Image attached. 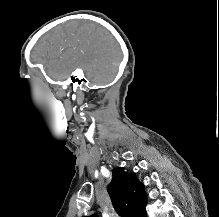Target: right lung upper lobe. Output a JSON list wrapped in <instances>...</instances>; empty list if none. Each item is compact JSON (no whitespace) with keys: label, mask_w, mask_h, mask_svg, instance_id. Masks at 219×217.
<instances>
[{"label":"right lung upper lobe","mask_w":219,"mask_h":217,"mask_svg":"<svg viewBox=\"0 0 219 217\" xmlns=\"http://www.w3.org/2000/svg\"><path fill=\"white\" fill-rule=\"evenodd\" d=\"M107 191L116 212L121 217H147L145 210L147 195L144 185L139 182L135 173H127L121 168L113 169L112 181Z\"/></svg>","instance_id":"obj_1"}]
</instances>
